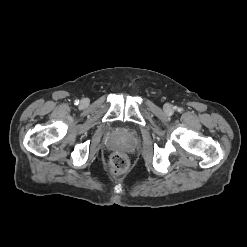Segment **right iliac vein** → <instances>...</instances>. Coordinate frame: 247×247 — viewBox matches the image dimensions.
I'll use <instances>...</instances> for the list:
<instances>
[{"label": "right iliac vein", "mask_w": 247, "mask_h": 247, "mask_svg": "<svg viewBox=\"0 0 247 247\" xmlns=\"http://www.w3.org/2000/svg\"><path fill=\"white\" fill-rule=\"evenodd\" d=\"M81 103H82V105H86L87 104V100L83 99Z\"/></svg>", "instance_id": "obj_1"}]
</instances>
